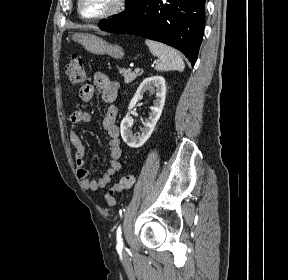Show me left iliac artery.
Returning a JSON list of instances; mask_svg holds the SVG:
<instances>
[{"label":"left iliac artery","instance_id":"1","mask_svg":"<svg viewBox=\"0 0 288 280\" xmlns=\"http://www.w3.org/2000/svg\"><path fill=\"white\" fill-rule=\"evenodd\" d=\"M121 234H122V231H121V225L118 227V229H117V234H116V239H117V246H116V248H117V250H122V248H123V239H122V236H121Z\"/></svg>","mask_w":288,"mask_h":280}]
</instances>
